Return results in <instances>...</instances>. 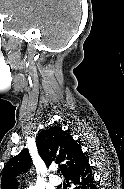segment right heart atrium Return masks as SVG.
Wrapping results in <instances>:
<instances>
[{
	"instance_id": "d8ad5b80",
	"label": "right heart atrium",
	"mask_w": 124,
	"mask_h": 189,
	"mask_svg": "<svg viewBox=\"0 0 124 189\" xmlns=\"http://www.w3.org/2000/svg\"><path fill=\"white\" fill-rule=\"evenodd\" d=\"M25 189H33V188H25Z\"/></svg>"
}]
</instances>
